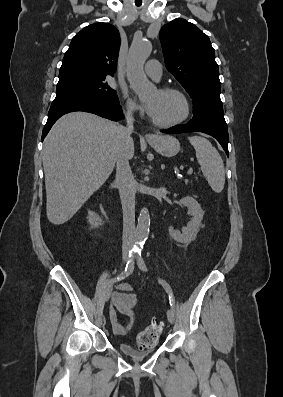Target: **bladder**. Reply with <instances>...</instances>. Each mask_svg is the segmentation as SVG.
<instances>
[{
	"mask_svg": "<svg viewBox=\"0 0 283 397\" xmlns=\"http://www.w3.org/2000/svg\"><path fill=\"white\" fill-rule=\"evenodd\" d=\"M117 348L122 354H124L132 359L139 360V359H143V358L153 354L157 350V342H155L150 347L144 348V349L136 348V347L129 345L127 343H119L117 345Z\"/></svg>",
	"mask_w": 283,
	"mask_h": 397,
	"instance_id": "bladder-1",
	"label": "bladder"
}]
</instances>
